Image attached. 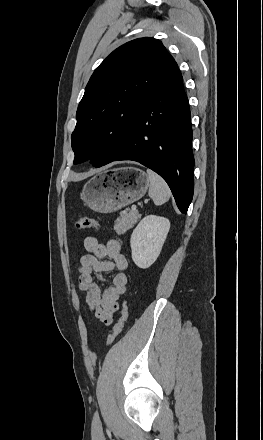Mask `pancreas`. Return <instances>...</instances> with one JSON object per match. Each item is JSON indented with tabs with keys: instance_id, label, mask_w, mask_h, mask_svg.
Masks as SVG:
<instances>
[{
	"instance_id": "cf45deb5",
	"label": "pancreas",
	"mask_w": 263,
	"mask_h": 440,
	"mask_svg": "<svg viewBox=\"0 0 263 440\" xmlns=\"http://www.w3.org/2000/svg\"><path fill=\"white\" fill-rule=\"evenodd\" d=\"M140 217L141 215L137 211L133 210L122 213L115 221L114 230L118 235H122L127 230L131 229L137 223Z\"/></svg>"
}]
</instances>
